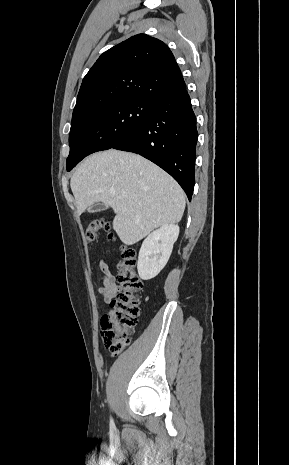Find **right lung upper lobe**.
Wrapping results in <instances>:
<instances>
[{"label": "right lung upper lobe", "instance_id": "right-lung-upper-lobe-1", "mask_svg": "<svg viewBox=\"0 0 289 465\" xmlns=\"http://www.w3.org/2000/svg\"><path fill=\"white\" fill-rule=\"evenodd\" d=\"M186 88L170 49L146 34L103 53L81 84L71 127L93 110L127 100L157 99Z\"/></svg>", "mask_w": 289, "mask_h": 465}]
</instances>
